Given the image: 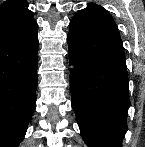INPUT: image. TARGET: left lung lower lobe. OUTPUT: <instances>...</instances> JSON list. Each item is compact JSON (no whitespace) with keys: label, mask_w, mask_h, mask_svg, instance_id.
Listing matches in <instances>:
<instances>
[{"label":"left lung lower lobe","mask_w":145,"mask_h":147,"mask_svg":"<svg viewBox=\"0 0 145 147\" xmlns=\"http://www.w3.org/2000/svg\"><path fill=\"white\" fill-rule=\"evenodd\" d=\"M72 107L89 147H121L130 106L128 75L117 25L89 3L70 21L67 37Z\"/></svg>","instance_id":"obj_1"}]
</instances>
